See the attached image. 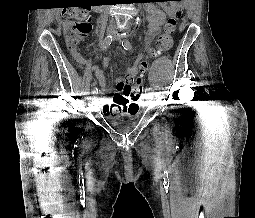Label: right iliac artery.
I'll return each mask as SVG.
<instances>
[{
  "instance_id": "obj_1",
  "label": "right iliac artery",
  "mask_w": 255,
  "mask_h": 218,
  "mask_svg": "<svg viewBox=\"0 0 255 218\" xmlns=\"http://www.w3.org/2000/svg\"><path fill=\"white\" fill-rule=\"evenodd\" d=\"M112 40H113L112 35L107 36L102 42V49L106 50L110 46V44L112 43ZM96 92H98V89H97V87L94 86L93 89H92V93L94 94Z\"/></svg>"
}]
</instances>
